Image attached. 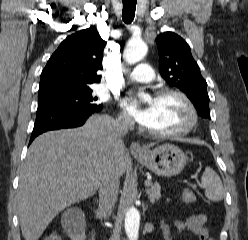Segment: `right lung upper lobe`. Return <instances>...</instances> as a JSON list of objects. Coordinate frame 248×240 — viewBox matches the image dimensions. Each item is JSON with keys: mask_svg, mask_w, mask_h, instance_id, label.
Returning <instances> with one entry per match:
<instances>
[{"mask_svg": "<svg viewBox=\"0 0 248 240\" xmlns=\"http://www.w3.org/2000/svg\"><path fill=\"white\" fill-rule=\"evenodd\" d=\"M105 44L94 26L68 36L42 71L38 97L76 93L99 83L96 72L102 69Z\"/></svg>", "mask_w": 248, "mask_h": 240, "instance_id": "cb5924a9", "label": "right lung upper lobe"}]
</instances>
